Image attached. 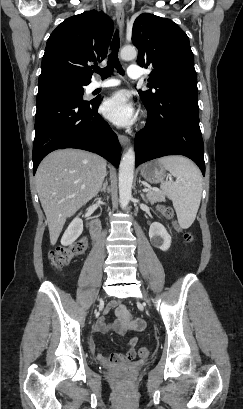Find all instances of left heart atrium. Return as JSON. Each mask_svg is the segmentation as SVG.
I'll return each mask as SVG.
<instances>
[{"mask_svg":"<svg viewBox=\"0 0 243 409\" xmlns=\"http://www.w3.org/2000/svg\"><path fill=\"white\" fill-rule=\"evenodd\" d=\"M104 116L118 126H127L136 119L133 103L125 91H118L108 97L102 106Z\"/></svg>","mask_w":243,"mask_h":409,"instance_id":"left-heart-atrium-1","label":"left heart atrium"}]
</instances>
